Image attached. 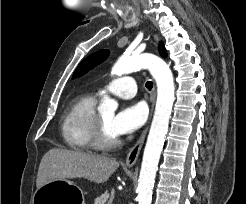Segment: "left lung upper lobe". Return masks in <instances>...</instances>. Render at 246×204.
Instances as JSON below:
<instances>
[{
    "mask_svg": "<svg viewBox=\"0 0 246 204\" xmlns=\"http://www.w3.org/2000/svg\"><path fill=\"white\" fill-rule=\"evenodd\" d=\"M159 53L163 57H166L167 55L163 43H160L159 45ZM108 55H109L108 50H100L91 54L78 65V67L76 68L73 74V78L82 76L87 71H89L90 69L94 68L95 66L103 62L108 57Z\"/></svg>",
    "mask_w": 246,
    "mask_h": 204,
    "instance_id": "1",
    "label": "left lung upper lobe"
}]
</instances>
